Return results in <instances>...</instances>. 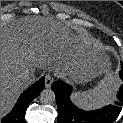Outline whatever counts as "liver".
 <instances>
[{"mask_svg": "<svg viewBox=\"0 0 123 123\" xmlns=\"http://www.w3.org/2000/svg\"><path fill=\"white\" fill-rule=\"evenodd\" d=\"M99 51L87 37L51 18L26 16L1 25V118L34 82L36 68L82 83L96 74ZM25 71L33 76L30 81L22 78Z\"/></svg>", "mask_w": 123, "mask_h": 123, "instance_id": "obj_1", "label": "liver"}]
</instances>
